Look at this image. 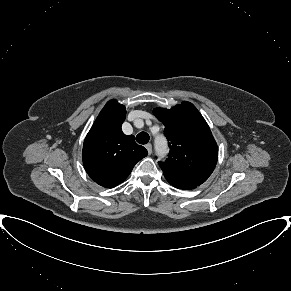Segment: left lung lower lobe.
Returning a JSON list of instances; mask_svg holds the SVG:
<instances>
[{
  "label": "left lung lower lobe",
  "mask_w": 291,
  "mask_h": 291,
  "mask_svg": "<svg viewBox=\"0 0 291 291\" xmlns=\"http://www.w3.org/2000/svg\"><path fill=\"white\" fill-rule=\"evenodd\" d=\"M172 186L179 188V189H194L197 186L188 184V183H184L181 181H175V180H170V179H166Z\"/></svg>",
  "instance_id": "1"
}]
</instances>
